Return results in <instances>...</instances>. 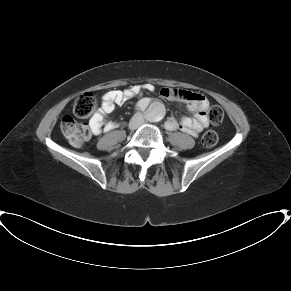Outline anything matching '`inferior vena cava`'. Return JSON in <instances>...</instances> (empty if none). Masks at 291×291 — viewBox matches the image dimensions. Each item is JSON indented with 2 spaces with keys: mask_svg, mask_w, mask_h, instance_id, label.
<instances>
[{
  "mask_svg": "<svg viewBox=\"0 0 291 291\" xmlns=\"http://www.w3.org/2000/svg\"><path fill=\"white\" fill-rule=\"evenodd\" d=\"M144 119L142 118L140 113H137L133 116L132 118V123L135 127L140 126L141 124H143Z\"/></svg>",
  "mask_w": 291,
  "mask_h": 291,
  "instance_id": "1",
  "label": "inferior vena cava"
}]
</instances>
